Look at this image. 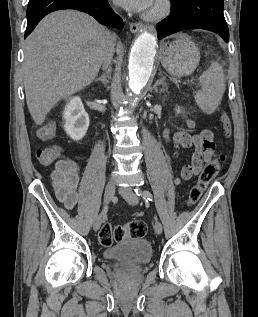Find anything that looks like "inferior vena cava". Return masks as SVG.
Segmentation results:
<instances>
[{
    "mask_svg": "<svg viewBox=\"0 0 258 317\" xmlns=\"http://www.w3.org/2000/svg\"><path fill=\"white\" fill-rule=\"evenodd\" d=\"M117 40L116 34H110L109 42L105 48L104 56H103V68L104 70H110L109 66L111 64L113 52H115V42Z\"/></svg>",
    "mask_w": 258,
    "mask_h": 317,
    "instance_id": "1",
    "label": "inferior vena cava"
}]
</instances>
